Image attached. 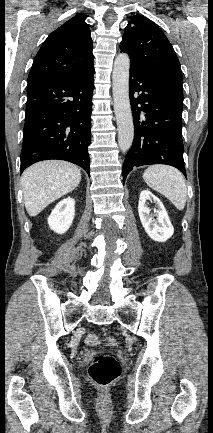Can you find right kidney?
<instances>
[{
	"mask_svg": "<svg viewBox=\"0 0 213 433\" xmlns=\"http://www.w3.org/2000/svg\"><path fill=\"white\" fill-rule=\"evenodd\" d=\"M75 216V201L68 197L60 201L52 210L49 218V227L58 234L65 233L71 226Z\"/></svg>",
	"mask_w": 213,
	"mask_h": 433,
	"instance_id": "obj_1",
	"label": "right kidney"
}]
</instances>
